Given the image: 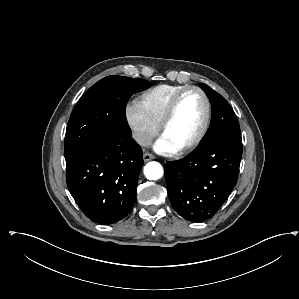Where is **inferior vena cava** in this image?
Masks as SVG:
<instances>
[{
  "instance_id": "1",
  "label": "inferior vena cava",
  "mask_w": 299,
  "mask_h": 299,
  "mask_svg": "<svg viewBox=\"0 0 299 299\" xmlns=\"http://www.w3.org/2000/svg\"><path fill=\"white\" fill-rule=\"evenodd\" d=\"M133 137L141 146H148L152 144V137L146 133L137 132L134 133Z\"/></svg>"
}]
</instances>
